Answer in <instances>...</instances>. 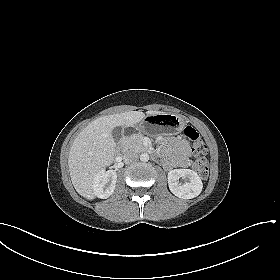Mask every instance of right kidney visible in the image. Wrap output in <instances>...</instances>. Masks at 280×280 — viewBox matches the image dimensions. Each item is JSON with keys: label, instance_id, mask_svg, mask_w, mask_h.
I'll use <instances>...</instances> for the list:
<instances>
[{"label": "right kidney", "instance_id": "right-kidney-1", "mask_svg": "<svg viewBox=\"0 0 280 280\" xmlns=\"http://www.w3.org/2000/svg\"><path fill=\"white\" fill-rule=\"evenodd\" d=\"M117 181L115 170H100L93 179V191L95 196L101 199L109 198L114 190Z\"/></svg>", "mask_w": 280, "mask_h": 280}]
</instances>
